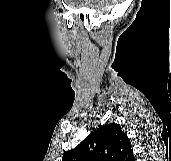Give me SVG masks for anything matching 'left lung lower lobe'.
Segmentation results:
<instances>
[{
    "instance_id": "obj_1",
    "label": "left lung lower lobe",
    "mask_w": 171,
    "mask_h": 161,
    "mask_svg": "<svg viewBox=\"0 0 171 161\" xmlns=\"http://www.w3.org/2000/svg\"><path fill=\"white\" fill-rule=\"evenodd\" d=\"M131 161H135V158L133 157V158L131 159Z\"/></svg>"
}]
</instances>
